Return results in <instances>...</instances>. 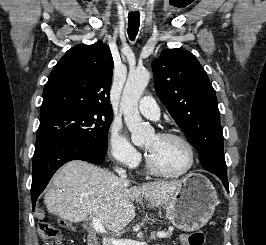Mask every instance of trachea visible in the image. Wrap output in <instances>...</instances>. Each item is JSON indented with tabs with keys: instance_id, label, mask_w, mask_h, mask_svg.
<instances>
[{
	"instance_id": "3493384b",
	"label": "trachea",
	"mask_w": 266,
	"mask_h": 245,
	"mask_svg": "<svg viewBox=\"0 0 266 245\" xmlns=\"http://www.w3.org/2000/svg\"><path fill=\"white\" fill-rule=\"evenodd\" d=\"M140 23V14L139 13H129L128 15V35L131 40H134Z\"/></svg>"
}]
</instances>
